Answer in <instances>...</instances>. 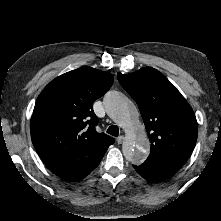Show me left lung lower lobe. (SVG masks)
Here are the masks:
<instances>
[{
	"label": "left lung lower lobe",
	"mask_w": 221,
	"mask_h": 221,
	"mask_svg": "<svg viewBox=\"0 0 221 221\" xmlns=\"http://www.w3.org/2000/svg\"><path fill=\"white\" fill-rule=\"evenodd\" d=\"M134 168L143 178L149 182L163 181L175 174V172L170 170L144 163L139 166H134Z\"/></svg>",
	"instance_id": "obj_1"
}]
</instances>
